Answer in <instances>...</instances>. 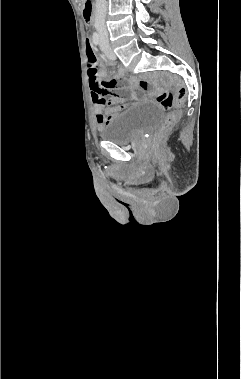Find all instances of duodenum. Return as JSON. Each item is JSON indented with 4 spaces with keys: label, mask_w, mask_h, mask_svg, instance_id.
Wrapping results in <instances>:
<instances>
[{
    "label": "duodenum",
    "mask_w": 241,
    "mask_h": 379,
    "mask_svg": "<svg viewBox=\"0 0 241 379\" xmlns=\"http://www.w3.org/2000/svg\"><path fill=\"white\" fill-rule=\"evenodd\" d=\"M83 13H84L85 19L88 22H91L93 20L94 13H93V3L91 0H84Z\"/></svg>",
    "instance_id": "duodenum-1"
}]
</instances>
